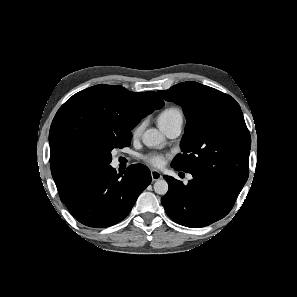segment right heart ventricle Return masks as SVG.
Masks as SVG:
<instances>
[{
	"mask_svg": "<svg viewBox=\"0 0 297 297\" xmlns=\"http://www.w3.org/2000/svg\"><path fill=\"white\" fill-rule=\"evenodd\" d=\"M179 120H183V115L177 107L166 108L160 113L158 117V122L162 129Z\"/></svg>",
	"mask_w": 297,
	"mask_h": 297,
	"instance_id": "obj_1",
	"label": "right heart ventricle"
}]
</instances>
